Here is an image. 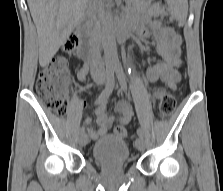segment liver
Here are the masks:
<instances>
[{
    "label": "liver",
    "mask_w": 223,
    "mask_h": 191,
    "mask_svg": "<svg viewBox=\"0 0 223 191\" xmlns=\"http://www.w3.org/2000/svg\"><path fill=\"white\" fill-rule=\"evenodd\" d=\"M89 0H27L39 39V64L45 67L82 19Z\"/></svg>",
    "instance_id": "1"
}]
</instances>
